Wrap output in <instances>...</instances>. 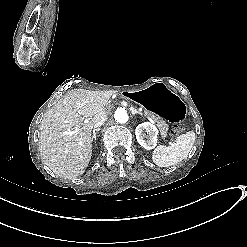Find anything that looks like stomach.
Wrapping results in <instances>:
<instances>
[{
  "instance_id": "0dacf381",
  "label": "stomach",
  "mask_w": 247,
  "mask_h": 247,
  "mask_svg": "<svg viewBox=\"0 0 247 247\" xmlns=\"http://www.w3.org/2000/svg\"><path fill=\"white\" fill-rule=\"evenodd\" d=\"M127 96L164 121L181 123L185 119L186 103L162 83L129 92Z\"/></svg>"
}]
</instances>
